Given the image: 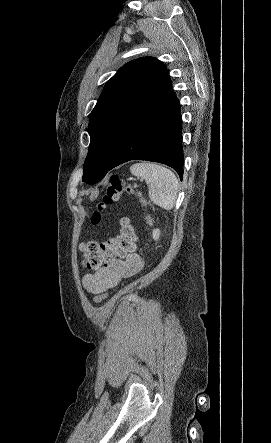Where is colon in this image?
Segmentation results:
<instances>
[{"label":"colon","mask_w":271,"mask_h":443,"mask_svg":"<svg viewBox=\"0 0 271 443\" xmlns=\"http://www.w3.org/2000/svg\"><path fill=\"white\" fill-rule=\"evenodd\" d=\"M137 194L139 193L124 179L117 175L110 177L106 193L102 201L98 204L97 210L92 215V223L98 225L102 223L101 210L117 201L123 194ZM142 205L145 201L140 197ZM148 224L151 221L146 217ZM137 242V235L134 226L126 218L120 221V232L118 235L109 239L106 242L87 241L82 244L81 250L83 253L82 266L86 270L97 271L103 264L109 260L117 257H123L126 254L134 251ZM108 294L102 292L94 297V302L99 304L107 298Z\"/></svg>","instance_id":"obj_1"}]
</instances>
